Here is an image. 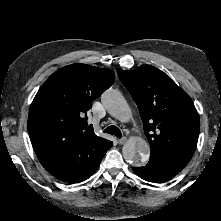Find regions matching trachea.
Returning <instances> with one entry per match:
<instances>
[{
    "label": "trachea",
    "mask_w": 221,
    "mask_h": 221,
    "mask_svg": "<svg viewBox=\"0 0 221 221\" xmlns=\"http://www.w3.org/2000/svg\"><path fill=\"white\" fill-rule=\"evenodd\" d=\"M104 132L111 134V135H115L117 138L122 137V133H121L120 129L116 126H109L104 130Z\"/></svg>",
    "instance_id": "obj_1"
}]
</instances>
